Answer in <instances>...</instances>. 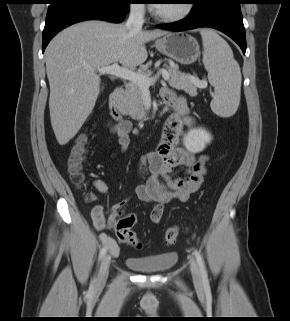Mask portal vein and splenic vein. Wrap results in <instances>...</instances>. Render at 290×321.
<instances>
[{
    "label": "portal vein and splenic vein",
    "mask_w": 290,
    "mask_h": 321,
    "mask_svg": "<svg viewBox=\"0 0 290 321\" xmlns=\"http://www.w3.org/2000/svg\"><path fill=\"white\" fill-rule=\"evenodd\" d=\"M95 70L99 74H109V75H112L115 77H119L122 79L132 81L133 83H136L139 86L144 87V88H147L152 83H154L157 80V78H159L160 75L162 76V78L165 81L170 80V74L165 69H160L157 72V74L153 77L146 76L140 72H135V71H132V70L125 68V67H120L117 63H114L109 66L100 67ZM191 80L193 82H195L198 85V87L203 88V87L207 86L206 81H199L198 79L194 78L193 76L191 77Z\"/></svg>",
    "instance_id": "1"
}]
</instances>
